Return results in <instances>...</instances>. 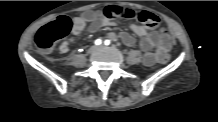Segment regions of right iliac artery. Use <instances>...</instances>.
Returning <instances> with one entry per match:
<instances>
[{
    "instance_id": "right-iliac-artery-1",
    "label": "right iliac artery",
    "mask_w": 218,
    "mask_h": 122,
    "mask_svg": "<svg viewBox=\"0 0 218 122\" xmlns=\"http://www.w3.org/2000/svg\"><path fill=\"white\" fill-rule=\"evenodd\" d=\"M101 43H102V40H101V39L95 40V45H100Z\"/></svg>"
}]
</instances>
